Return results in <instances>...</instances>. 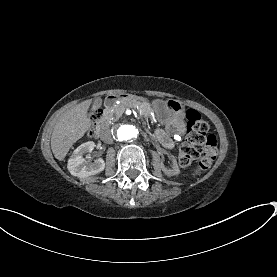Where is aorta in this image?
<instances>
[{"mask_svg":"<svg viewBox=\"0 0 277 277\" xmlns=\"http://www.w3.org/2000/svg\"><path fill=\"white\" fill-rule=\"evenodd\" d=\"M112 130L115 140L122 143L133 142L142 134V126L130 119L115 122Z\"/></svg>","mask_w":277,"mask_h":277,"instance_id":"762f6f07","label":"aorta"}]
</instances>
